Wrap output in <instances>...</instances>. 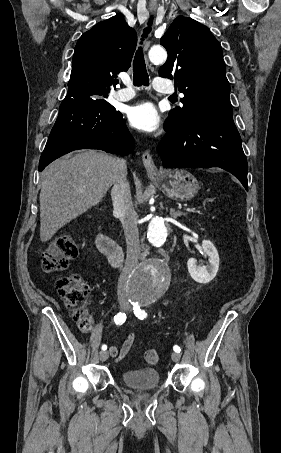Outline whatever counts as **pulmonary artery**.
<instances>
[{
    "label": "pulmonary artery",
    "mask_w": 281,
    "mask_h": 453,
    "mask_svg": "<svg viewBox=\"0 0 281 453\" xmlns=\"http://www.w3.org/2000/svg\"><path fill=\"white\" fill-rule=\"evenodd\" d=\"M159 79H162V78H159V77H156L155 80H159ZM121 80L122 82L127 85L129 84V78L127 77H121ZM165 93H170L171 91H164ZM181 95V94H180ZM135 96V92L130 89V88H121L119 89L116 93H115V98L118 100V101H128L130 99H132L133 97Z\"/></svg>",
    "instance_id": "1"
}]
</instances>
